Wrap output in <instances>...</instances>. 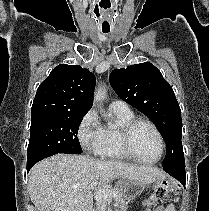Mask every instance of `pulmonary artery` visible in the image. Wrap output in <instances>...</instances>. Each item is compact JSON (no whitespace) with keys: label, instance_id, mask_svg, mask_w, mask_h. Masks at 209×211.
Returning a JSON list of instances; mask_svg holds the SVG:
<instances>
[{"label":"pulmonary artery","instance_id":"e3ab8cb5","mask_svg":"<svg viewBox=\"0 0 209 211\" xmlns=\"http://www.w3.org/2000/svg\"><path fill=\"white\" fill-rule=\"evenodd\" d=\"M110 109L112 111H117V112H128L131 111L130 108L128 107L127 103L122 101V100H114L110 103Z\"/></svg>","mask_w":209,"mask_h":211}]
</instances>
